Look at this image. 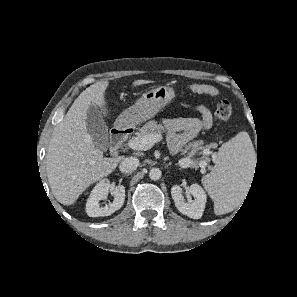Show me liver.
I'll list each match as a JSON object with an SVG mask.
<instances>
[{
	"instance_id": "liver-1",
	"label": "liver",
	"mask_w": 297,
	"mask_h": 297,
	"mask_svg": "<svg viewBox=\"0 0 297 297\" xmlns=\"http://www.w3.org/2000/svg\"><path fill=\"white\" fill-rule=\"evenodd\" d=\"M151 82L135 80L132 86ZM108 85V81H102L86 88L52 133L46 156L47 176L54 197L63 205L74 204L86 188L109 175L119 162L120 158H103L102 150L94 144L87 129L91 104L107 115Z\"/></svg>"
}]
</instances>
